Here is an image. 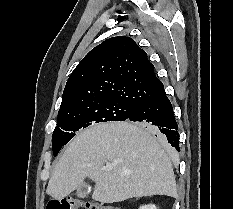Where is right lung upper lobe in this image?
I'll return each mask as SVG.
<instances>
[{"instance_id": "cb5924a9", "label": "right lung upper lobe", "mask_w": 233, "mask_h": 209, "mask_svg": "<svg viewBox=\"0 0 233 209\" xmlns=\"http://www.w3.org/2000/svg\"><path fill=\"white\" fill-rule=\"evenodd\" d=\"M164 89L147 54L126 36L93 48L71 73L58 115L102 99L139 104Z\"/></svg>"}]
</instances>
